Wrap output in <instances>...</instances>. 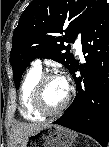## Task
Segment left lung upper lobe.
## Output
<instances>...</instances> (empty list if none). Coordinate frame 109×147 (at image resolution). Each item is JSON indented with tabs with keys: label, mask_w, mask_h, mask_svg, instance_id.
<instances>
[{
	"label": "left lung upper lobe",
	"mask_w": 109,
	"mask_h": 147,
	"mask_svg": "<svg viewBox=\"0 0 109 147\" xmlns=\"http://www.w3.org/2000/svg\"><path fill=\"white\" fill-rule=\"evenodd\" d=\"M105 0H33L20 16L12 38L10 62L16 88L27 65L34 59L50 57L72 73L77 65L70 46L84 33ZM65 33V35H62ZM103 76L91 72L88 87L95 93Z\"/></svg>",
	"instance_id": "obj_1"
}]
</instances>
